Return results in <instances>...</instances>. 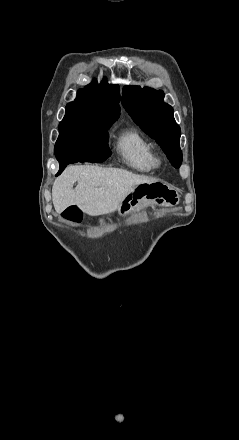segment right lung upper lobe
<instances>
[{
    "label": "right lung upper lobe",
    "instance_id": "right-lung-upper-lobe-1",
    "mask_svg": "<svg viewBox=\"0 0 239 440\" xmlns=\"http://www.w3.org/2000/svg\"><path fill=\"white\" fill-rule=\"evenodd\" d=\"M120 89L117 85L96 81L80 89L75 101L66 106V114L115 121L120 115Z\"/></svg>",
    "mask_w": 239,
    "mask_h": 440
}]
</instances>
